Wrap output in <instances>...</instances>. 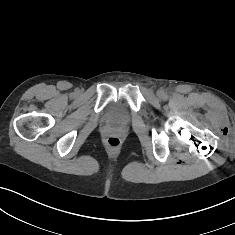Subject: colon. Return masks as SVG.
<instances>
[{
	"label": "colon",
	"instance_id": "colon-1",
	"mask_svg": "<svg viewBox=\"0 0 235 235\" xmlns=\"http://www.w3.org/2000/svg\"><path fill=\"white\" fill-rule=\"evenodd\" d=\"M120 144H121L120 139L116 136H111L107 139V145L111 149L119 148Z\"/></svg>",
	"mask_w": 235,
	"mask_h": 235
}]
</instances>
